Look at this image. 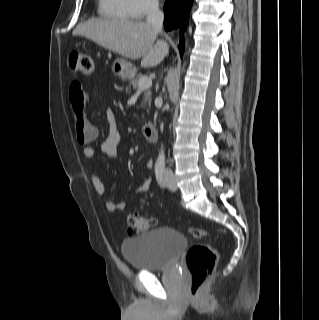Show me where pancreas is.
<instances>
[{
	"label": "pancreas",
	"mask_w": 319,
	"mask_h": 320,
	"mask_svg": "<svg viewBox=\"0 0 319 320\" xmlns=\"http://www.w3.org/2000/svg\"><path fill=\"white\" fill-rule=\"evenodd\" d=\"M142 77L143 75L139 73L136 78L130 80L129 86H132V88L136 90L138 87V82ZM128 93H130V91H128ZM151 94L152 92L149 89H146L144 91V97L141 103L142 107H146V105H148L149 107L151 106Z\"/></svg>",
	"instance_id": "cf45deb5"
}]
</instances>
